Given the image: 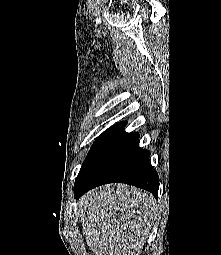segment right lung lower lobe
Masks as SVG:
<instances>
[{
    "instance_id": "1",
    "label": "right lung lower lobe",
    "mask_w": 221,
    "mask_h": 255,
    "mask_svg": "<svg viewBox=\"0 0 221 255\" xmlns=\"http://www.w3.org/2000/svg\"><path fill=\"white\" fill-rule=\"evenodd\" d=\"M125 122L114 125L93 144L75 183V197L107 183L122 182L150 191L157 198L159 177L149 152L139 148V135L126 133Z\"/></svg>"
}]
</instances>
